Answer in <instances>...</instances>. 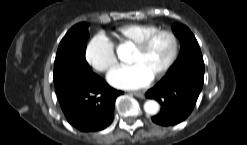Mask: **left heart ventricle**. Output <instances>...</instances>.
<instances>
[{"label": "left heart ventricle", "mask_w": 247, "mask_h": 145, "mask_svg": "<svg viewBox=\"0 0 247 145\" xmlns=\"http://www.w3.org/2000/svg\"><path fill=\"white\" fill-rule=\"evenodd\" d=\"M172 40L167 35H160L143 52L133 49L130 64H140L152 76L168 61L172 52Z\"/></svg>", "instance_id": "left-heart-ventricle-1"}]
</instances>
